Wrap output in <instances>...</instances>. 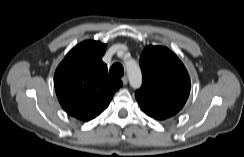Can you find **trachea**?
<instances>
[{
  "mask_svg": "<svg viewBox=\"0 0 244 157\" xmlns=\"http://www.w3.org/2000/svg\"><path fill=\"white\" fill-rule=\"evenodd\" d=\"M109 72L115 77H122L124 74V68L120 63H115L111 66Z\"/></svg>",
  "mask_w": 244,
  "mask_h": 157,
  "instance_id": "1",
  "label": "trachea"
}]
</instances>
